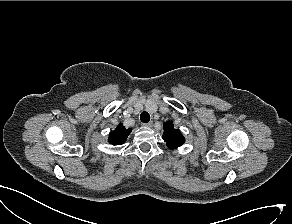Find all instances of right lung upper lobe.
Masks as SVG:
<instances>
[{
	"label": "right lung upper lobe",
	"mask_w": 292,
	"mask_h": 224,
	"mask_svg": "<svg viewBox=\"0 0 292 224\" xmlns=\"http://www.w3.org/2000/svg\"><path fill=\"white\" fill-rule=\"evenodd\" d=\"M131 131L132 129H126L122 123H120L116 129L109 134L108 142L112 145H121L125 143Z\"/></svg>",
	"instance_id": "1"
}]
</instances>
